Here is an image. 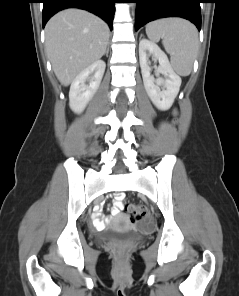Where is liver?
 Instances as JSON below:
<instances>
[{"label":"liver","mask_w":239,"mask_h":296,"mask_svg":"<svg viewBox=\"0 0 239 296\" xmlns=\"http://www.w3.org/2000/svg\"><path fill=\"white\" fill-rule=\"evenodd\" d=\"M45 39L54 73L64 86H68L80 72L105 54L109 27L88 11L66 9L48 21Z\"/></svg>","instance_id":"obj_1"}]
</instances>
